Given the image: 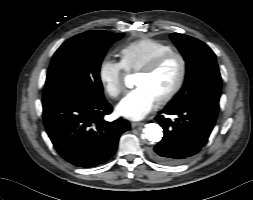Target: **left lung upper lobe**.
Returning <instances> with one entry per match:
<instances>
[{
    "instance_id": "5c2ea615",
    "label": "left lung upper lobe",
    "mask_w": 253,
    "mask_h": 200,
    "mask_svg": "<svg viewBox=\"0 0 253 200\" xmlns=\"http://www.w3.org/2000/svg\"><path fill=\"white\" fill-rule=\"evenodd\" d=\"M170 38L186 61V79L183 88L167 106H186L200 100L219 102L222 79L213 51L187 35L172 33Z\"/></svg>"
}]
</instances>
